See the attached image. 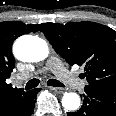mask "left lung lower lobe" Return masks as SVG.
<instances>
[{
  "label": "left lung lower lobe",
  "mask_w": 116,
  "mask_h": 116,
  "mask_svg": "<svg viewBox=\"0 0 116 116\" xmlns=\"http://www.w3.org/2000/svg\"><path fill=\"white\" fill-rule=\"evenodd\" d=\"M83 105L68 116H116V91L85 86ZM82 98V96H81Z\"/></svg>",
  "instance_id": "1"
}]
</instances>
